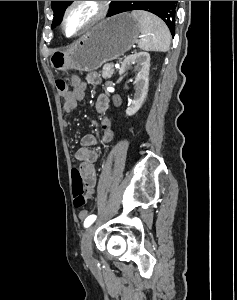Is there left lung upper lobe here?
<instances>
[{"instance_id":"left-lung-upper-lobe-1","label":"left lung upper lobe","mask_w":237,"mask_h":300,"mask_svg":"<svg viewBox=\"0 0 237 300\" xmlns=\"http://www.w3.org/2000/svg\"><path fill=\"white\" fill-rule=\"evenodd\" d=\"M72 1H52L54 11L52 28L58 25L67 6ZM177 1H112V10L121 13L131 10H145L159 16L167 24L171 34H175V14ZM111 10V11H112Z\"/></svg>"}]
</instances>
